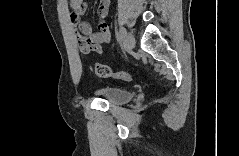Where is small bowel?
Wrapping results in <instances>:
<instances>
[{"label":"small bowel","instance_id":"c3829d8e","mask_svg":"<svg viewBox=\"0 0 239 156\" xmlns=\"http://www.w3.org/2000/svg\"><path fill=\"white\" fill-rule=\"evenodd\" d=\"M69 6L71 9L69 19L76 29V38L80 50L84 53L94 51L103 54L102 44L111 43V34L107 24L110 1L102 0L98 6V30L95 32L88 22L81 19L82 14L86 11V3L83 0H71Z\"/></svg>","mask_w":239,"mask_h":156}]
</instances>
